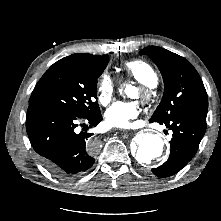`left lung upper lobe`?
<instances>
[{
	"mask_svg": "<svg viewBox=\"0 0 221 221\" xmlns=\"http://www.w3.org/2000/svg\"><path fill=\"white\" fill-rule=\"evenodd\" d=\"M148 55L164 80V95L150 122L165 123L177 116H189L206 123L208 97L195 68L184 57L158 46H148Z\"/></svg>",
	"mask_w": 221,
	"mask_h": 221,
	"instance_id": "1",
	"label": "left lung upper lobe"
}]
</instances>
